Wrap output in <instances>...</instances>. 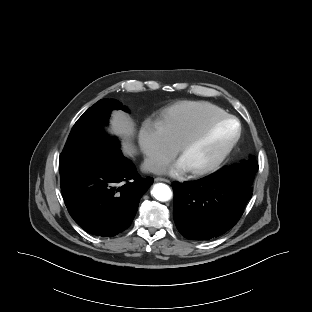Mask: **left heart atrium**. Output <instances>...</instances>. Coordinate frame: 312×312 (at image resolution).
I'll return each mask as SVG.
<instances>
[{"label":"left heart atrium","instance_id":"1","mask_svg":"<svg viewBox=\"0 0 312 312\" xmlns=\"http://www.w3.org/2000/svg\"><path fill=\"white\" fill-rule=\"evenodd\" d=\"M189 166L187 163L184 161V159L181 157L179 160H177L170 168H169V173L172 175H179L187 170H189Z\"/></svg>","mask_w":312,"mask_h":312}]
</instances>
